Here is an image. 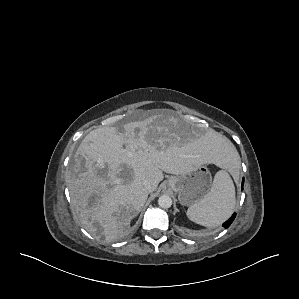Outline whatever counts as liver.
<instances>
[{"label": "liver", "instance_id": "1", "mask_svg": "<svg viewBox=\"0 0 299 299\" xmlns=\"http://www.w3.org/2000/svg\"><path fill=\"white\" fill-rule=\"evenodd\" d=\"M236 154L232 143L214 130L198 134L173 116L155 114L142 121L100 127L78 147L68 174V188L80 225L107 241L122 237L144 206L163 172L186 174L214 163L228 167Z\"/></svg>", "mask_w": 299, "mask_h": 299}]
</instances>
